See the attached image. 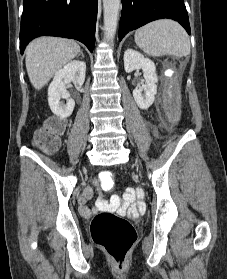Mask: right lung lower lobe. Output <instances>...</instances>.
Masks as SVG:
<instances>
[{
	"mask_svg": "<svg viewBox=\"0 0 227 279\" xmlns=\"http://www.w3.org/2000/svg\"><path fill=\"white\" fill-rule=\"evenodd\" d=\"M98 0H24L20 52L36 37L76 39L93 52Z\"/></svg>",
	"mask_w": 227,
	"mask_h": 279,
	"instance_id": "obj_1",
	"label": "right lung lower lobe"
}]
</instances>
